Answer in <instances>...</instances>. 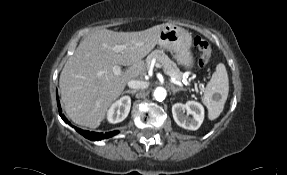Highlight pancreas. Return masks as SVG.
<instances>
[{"label": "pancreas", "mask_w": 287, "mask_h": 175, "mask_svg": "<svg viewBox=\"0 0 287 175\" xmlns=\"http://www.w3.org/2000/svg\"><path fill=\"white\" fill-rule=\"evenodd\" d=\"M152 60H155L162 67L164 72L170 77H175L178 80L182 79L183 73L177 67L176 63H174L163 50H154L152 51L146 58V62L149 65Z\"/></svg>", "instance_id": "cf45deb5"}]
</instances>
